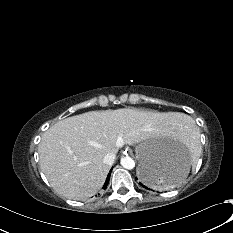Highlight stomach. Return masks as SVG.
<instances>
[{"label":"stomach","mask_w":233,"mask_h":233,"mask_svg":"<svg viewBox=\"0 0 233 233\" xmlns=\"http://www.w3.org/2000/svg\"><path fill=\"white\" fill-rule=\"evenodd\" d=\"M139 160L138 176L153 187H168L178 178H184L190 170L191 162L186 153L178 149V144L166 141L143 139L136 146Z\"/></svg>","instance_id":"1"}]
</instances>
